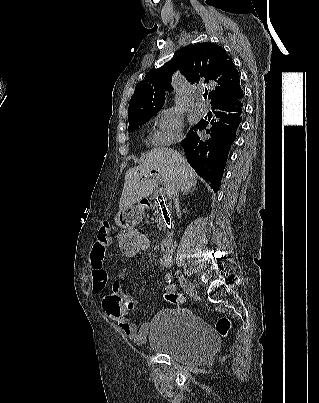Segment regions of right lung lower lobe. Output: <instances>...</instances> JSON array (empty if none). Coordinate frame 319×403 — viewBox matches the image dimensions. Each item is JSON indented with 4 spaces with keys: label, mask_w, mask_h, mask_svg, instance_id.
Segmentation results:
<instances>
[{
    "label": "right lung lower lobe",
    "mask_w": 319,
    "mask_h": 403,
    "mask_svg": "<svg viewBox=\"0 0 319 403\" xmlns=\"http://www.w3.org/2000/svg\"><path fill=\"white\" fill-rule=\"evenodd\" d=\"M242 98L243 92L212 105L215 117L210 121L202 119L194 127L206 130V135H199L191 128L181 142L187 161L214 192L219 189L230 146L242 121Z\"/></svg>",
    "instance_id": "98d812e1"
}]
</instances>
